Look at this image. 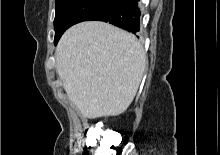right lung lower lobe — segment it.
<instances>
[{
    "label": "right lung lower lobe",
    "mask_w": 220,
    "mask_h": 155,
    "mask_svg": "<svg viewBox=\"0 0 220 155\" xmlns=\"http://www.w3.org/2000/svg\"><path fill=\"white\" fill-rule=\"evenodd\" d=\"M138 0H121L119 3L98 12L87 19L109 22L129 32L139 31L140 10Z\"/></svg>",
    "instance_id": "1"
}]
</instances>
